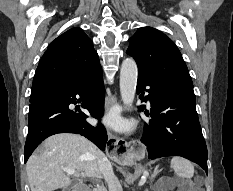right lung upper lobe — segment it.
I'll list each match as a JSON object with an SVG mask.
<instances>
[{
	"mask_svg": "<svg viewBox=\"0 0 233 191\" xmlns=\"http://www.w3.org/2000/svg\"><path fill=\"white\" fill-rule=\"evenodd\" d=\"M100 68L92 41L82 29L75 27L50 44L39 62L33 85L45 82H78Z\"/></svg>",
	"mask_w": 233,
	"mask_h": 191,
	"instance_id": "right-lung-upper-lobe-1",
	"label": "right lung upper lobe"
}]
</instances>
